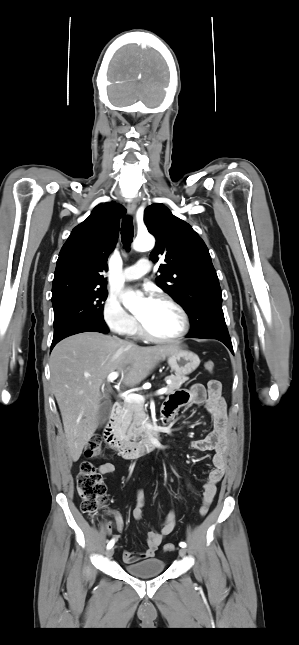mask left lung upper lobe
Wrapping results in <instances>:
<instances>
[{"label": "left lung upper lobe", "mask_w": 299, "mask_h": 645, "mask_svg": "<svg viewBox=\"0 0 299 645\" xmlns=\"http://www.w3.org/2000/svg\"><path fill=\"white\" fill-rule=\"evenodd\" d=\"M144 222L156 238L151 260L157 262L162 257L166 262L158 269V286L188 314L190 334L204 333L223 314L222 292L208 248L192 227L164 204L148 206Z\"/></svg>", "instance_id": "obj_1"}]
</instances>
